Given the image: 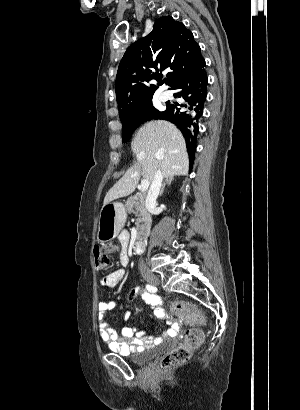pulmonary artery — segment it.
Returning a JSON list of instances; mask_svg holds the SVG:
<instances>
[{
  "label": "pulmonary artery",
  "mask_w": 300,
  "mask_h": 410,
  "mask_svg": "<svg viewBox=\"0 0 300 410\" xmlns=\"http://www.w3.org/2000/svg\"><path fill=\"white\" fill-rule=\"evenodd\" d=\"M171 97V95L168 92H163L160 96L162 101H166Z\"/></svg>",
  "instance_id": "e3ab8cb5"
}]
</instances>
